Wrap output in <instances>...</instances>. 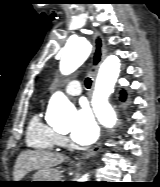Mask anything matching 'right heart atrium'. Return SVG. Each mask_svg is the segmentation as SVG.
Instances as JSON below:
<instances>
[{"label": "right heart atrium", "instance_id": "1", "mask_svg": "<svg viewBox=\"0 0 160 187\" xmlns=\"http://www.w3.org/2000/svg\"><path fill=\"white\" fill-rule=\"evenodd\" d=\"M59 138H60V145H61V146H67V145L69 144V142H68V140H67L66 137H64V136H59Z\"/></svg>", "mask_w": 160, "mask_h": 187}]
</instances>
